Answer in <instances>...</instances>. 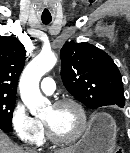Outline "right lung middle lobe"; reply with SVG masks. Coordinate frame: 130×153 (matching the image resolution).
<instances>
[{
  "instance_id": "dd1d6c3e",
  "label": "right lung middle lobe",
  "mask_w": 130,
  "mask_h": 153,
  "mask_svg": "<svg viewBox=\"0 0 130 153\" xmlns=\"http://www.w3.org/2000/svg\"><path fill=\"white\" fill-rule=\"evenodd\" d=\"M15 97L0 96V129L12 131V115Z\"/></svg>"
}]
</instances>
